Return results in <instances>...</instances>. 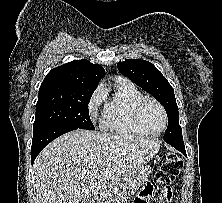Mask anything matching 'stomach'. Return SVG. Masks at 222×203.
<instances>
[{
  "mask_svg": "<svg viewBox=\"0 0 222 203\" xmlns=\"http://www.w3.org/2000/svg\"><path fill=\"white\" fill-rule=\"evenodd\" d=\"M150 172L151 166L146 165L140 169L132 178H129L127 181H125L119 189L118 198L121 200L130 198L135 193V191L138 190L140 186H142L147 181ZM105 200V203H116L117 199L106 197Z\"/></svg>",
  "mask_w": 222,
  "mask_h": 203,
  "instance_id": "stomach-1",
  "label": "stomach"
}]
</instances>
